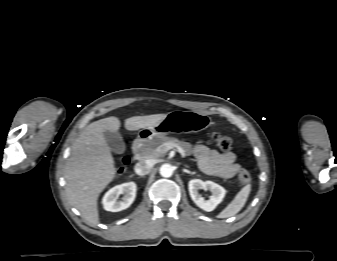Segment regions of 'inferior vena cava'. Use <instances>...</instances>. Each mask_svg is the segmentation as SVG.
Segmentation results:
<instances>
[{
	"label": "inferior vena cava",
	"mask_w": 337,
	"mask_h": 261,
	"mask_svg": "<svg viewBox=\"0 0 337 261\" xmlns=\"http://www.w3.org/2000/svg\"><path fill=\"white\" fill-rule=\"evenodd\" d=\"M153 166V161L151 160H146V161H141V162H138L136 165H135V172L136 174L138 175H147L151 168Z\"/></svg>",
	"instance_id": "1"
}]
</instances>
